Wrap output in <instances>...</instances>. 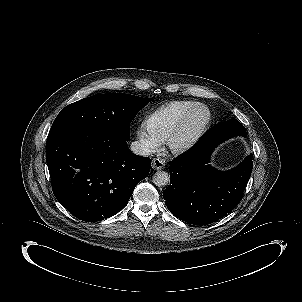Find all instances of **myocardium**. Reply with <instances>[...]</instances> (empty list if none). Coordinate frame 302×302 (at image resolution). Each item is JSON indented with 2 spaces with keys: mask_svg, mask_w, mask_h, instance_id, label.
Wrapping results in <instances>:
<instances>
[{
  "mask_svg": "<svg viewBox=\"0 0 302 302\" xmlns=\"http://www.w3.org/2000/svg\"><path fill=\"white\" fill-rule=\"evenodd\" d=\"M198 112L205 113V119L202 122V124L196 129V131L189 136L186 140H184L180 144H175L174 140L178 133L181 131L185 123L190 119L192 116H194ZM211 122V113L210 110L204 106V105H196L194 108H192L190 111L185 113L179 122L176 124V126L170 131V133L167 135L165 140V146L169 153L173 155H181L188 150H190L203 136V134L206 132L209 124Z\"/></svg>",
  "mask_w": 302,
  "mask_h": 302,
  "instance_id": "1",
  "label": "myocardium"
}]
</instances>
